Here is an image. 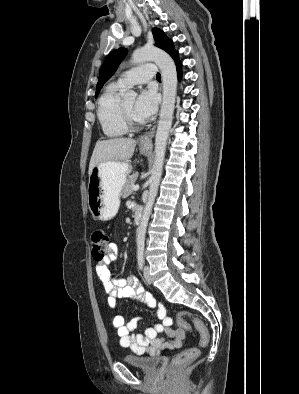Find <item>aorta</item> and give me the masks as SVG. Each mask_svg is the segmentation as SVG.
I'll return each instance as SVG.
<instances>
[{"label": "aorta", "instance_id": "1", "mask_svg": "<svg viewBox=\"0 0 299 394\" xmlns=\"http://www.w3.org/2000/svg\"><path fill=\"white\" fill-rule=\"evenodd\" d=\"M132 63L138 64L146 61H154L161 70L163 82V101L160 110V119L155 136V159L152 168V174L149 179V193L146 202L141 223L138 227L137 234V254L142 255L144 252L145 235L152 211V207L157 195L163 162L166 151L167 138L172 125L173 112L175 107V98L177 92V71L176 66L169 54L156 47H142L132 54ZM134 91L125 93V97L135 98Z\"/></svg>", "mask_w": 299, "mask_h": 394}]
</instances>
